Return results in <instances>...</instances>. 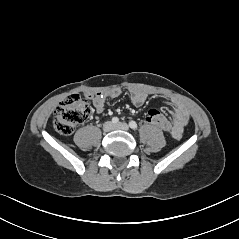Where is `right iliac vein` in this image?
Returning a JSON list of instances; mask_svg holds the SVG:
<instances>
[{
    "mask_svg": "<svg viewBox=\"0 0 239 239\" xmlns=\"http://www.w3.org/2000/svg\"><path fill=\"white\" fill-rule=\"evenodd\" d=\"M114 128V125L112 122H106L104 125H103V131L104 132H110L111 130H113Z\"/></svg>",
    "mask_w": 239,
    "mask_h": 239,
    "instance_id": "right-iliac-vein-1",
    "label": "right iliac vein"
}]
</instances>
